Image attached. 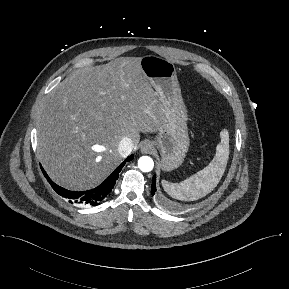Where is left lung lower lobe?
<instances>
[{
	"mask_svg": "<svg viewBox=\"0 0 289 289\" xmlns=\"http://www.w3.org/2000/svg\"><path fill=\"white\" fill-rule=\"evenodd\" d=\"M155 192H156V175L153 176L152 187H151L152 195H154Z\"/></svg>",
	"mask_w": 289,
	"mask_h": 289,
	"instance_id": "obj_1",
	"label": "left lung lower lobe"
}]
</instances>
